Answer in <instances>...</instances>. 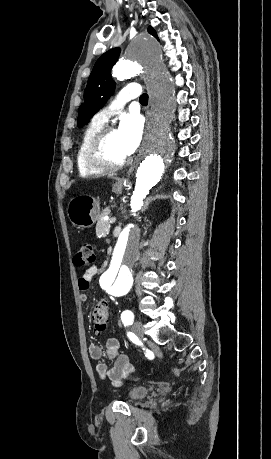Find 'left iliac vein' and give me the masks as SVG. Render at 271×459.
<instances>
[{
  "instance_id": "left-iliac-vein-1",
  "label": "left iliac vein",
  "mask_w": 271,
  "mask_h": 459,
  "mask_svg": "<svg viewBox=\"0 0 271 459\" xmlns=\"http://www.w3.org/2000/svg\"><path fill=\"white\" fill-rule=\"evenodd\" d=\"M133 332L136 334V336L139 338V340L144 339V329L143 325L140 321H134L133 323Z\"/></svg>"
}]
</instances>
